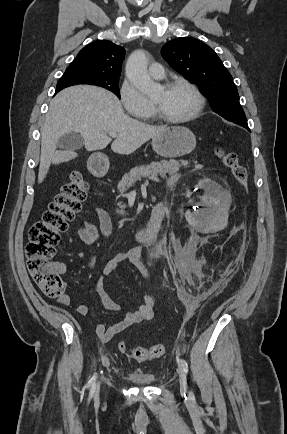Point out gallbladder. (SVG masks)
<instances>
[{
  "mask_svg": "<svg viewBox=\"0 0 287 434\" xmlns=\"http://www.w3.org/2000/svg\"><path fill=\"white\" fill-rule=\"evenodd\" d=\"M84 146V140L78 133L64 134L57 141V147L65 151L74 152Z\"/></svg>",
  "mask_w": 287,
  "mask_h": 434,
  "instance_id": "bac80fb5",
  "label": "gallbladder"
}]
</instances>
